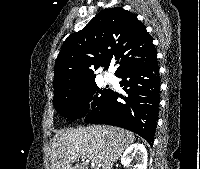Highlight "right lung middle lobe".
Listing matches in <instances>:
<instances>
[{
  "instance_id": "1",
  "label": "right lung middle lobe",
  "mask_w": 200,
  "mask_h": 169,
  "mask_svg": "<svg viewBox=\"0 0 200 169\" xmlns=\"http://www.w3.org/2000/svg\"><path fill=\"white\" fill-rule=\"evenodd\" d=\"M106 88L99 89L95 80H91L73 93L54 98L53 104L60 115L69 120H76L89 112L90 105V112L100 107L110 92V89Z\"/></svg>"
}]
</instances>
